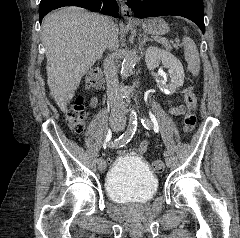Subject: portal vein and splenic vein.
Wrapping results in <instances>:
<instances>
[{
	"label": "portal vein and splenic vein",
	"instance_id": "1",
	"mask_svg": "<svg viewBox=\"0 0 240 238\" xmlns=\"http://www.w3.org/2000/svg\"><path fill=\"white\" fill-rule=\"evenodd\" d=\"M161 40H162V41H165L166 39L162 38Z\"/></svg>",
	"mask_w": 240,
	"mask_h": 238
}]
</instances>
